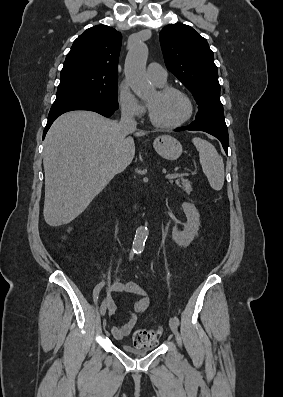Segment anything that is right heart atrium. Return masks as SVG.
<instances>
[{
  "instance_id": "right-heart-atrium-1",
  "label": "right heart atrium",
  "mask_w": 283,
  "mask_h": 397,
  "mask_svg": "<svg viewBox=\"0 0 283 397\" xmlns=\"http://www.w3.org/2000/svg\"><path fill=\"white\" fill-rule=\"evenodd\" d=\"M117 99L120 110L124 116L139 118L145 114V106L124 82L118 87Z\"/></svg>"
}]
</instances>
